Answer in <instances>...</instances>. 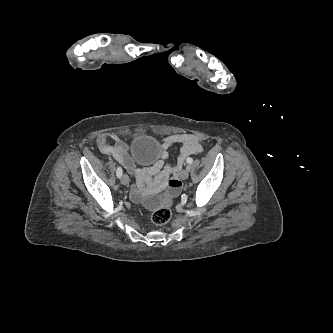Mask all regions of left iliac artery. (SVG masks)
I'll return each mask as SVG.
<instances>
[{
    "label": "left iliac artery",
    "mask_w": 333,
    "mask_h": 333,
    "mask_svg": "<svg viewBox=\"0 0 333 333\" xmlns=\"http://www.w3.org/2000/svg\"><path fill=\"white\" fill-rule=\"evenodd\" d=\"M186 162H187L188 164H192L193 159H192V158H188ZM186 168L189 170V167H186Z\"/></svg>",
    "instance_id": "left-iliac-artery-1"
}]
</instances>
